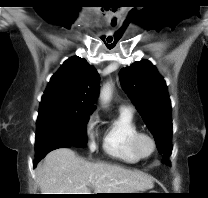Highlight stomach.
<instances>
[{
  "mask_svg": "<svg viewBox=\"0 0 208 198\" xmlns=\"http://www.w3.org/2000/svg\"><path fill=\"white\" fill-rule=\"evenodd\" d=\"M133 194H127L125 196H122V197H125V198H137L139 197V193H143V192H139V191H136V192H132Z\"/></svg>",
  "mask_w": 208,
  "mask_h": 198,
  "instance_id": "0dacf381",
  "label": "stomach"
}]
</instances>
